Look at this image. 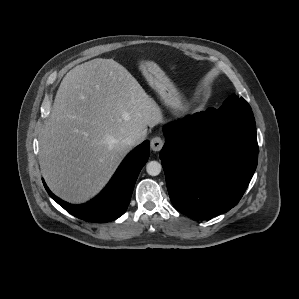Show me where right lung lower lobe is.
Here are the masks:
<instances>
[{"label":"right lung lower lobe","instance_id":"obj_1","mask_svg":"<svg viewBox=\"0 0 299 299\" xmlns=\"http://www.w3.org/2000/svg\"><path fill=\"white\" fill-rule=\"evenodd\" d=\"M149 155L150 142L147 140L128 154L104 191L85 205L75 206L60 200L43 183L48 194L70 214L90 222L112 221L126 211L138 174Z\"/></svg>","mask_w":299,"mask_h":299}]
</instances>
